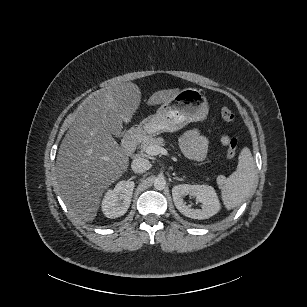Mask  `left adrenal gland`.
<instances>
[{
	"mask_svg": "<svg viewBox=\"0 0 307 307\" xmlns=\"http://www.w3.org/2000/svg\"><path fill=\"white\" fill-rule=\"evenodd\" d=\"M176 179L178 180H183L182 178L178 177V176H175Z\"/></svg>",
	"mask_w": 307,
	"mask_h": 307,
	"instance_id": "obj_1",
	"label": "left adrenal gland"
}]
</instances>
